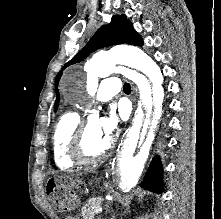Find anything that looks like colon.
<instances>
[{"label": "colon", "mask_w": 221, "mask_h": 219, "mask_svg": "<svg viewBox=\"0 0 221 219\" xmlns=\"http://www.w3.org/2000/svg\"><path fill=\"white\" fill-rule=\"evenodd\" d=\"M63 191V185L60 182L52 181L48 185V192L51 198L56 200L57 195H60ZM71 208L67 207L65 208V211H70Z\"/></svg>", "instance_id": "colon-1"}]
</instances>
